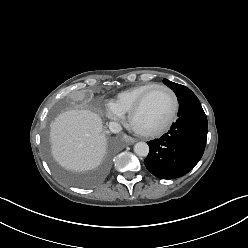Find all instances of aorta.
<instances>
[{"label": "aorta", "instance_id": "762f6f07", "mask_svg": "<svg viewBox=\"0 0 248 248\" xmlns=\"http://www.w3.org/2000/svg\"><path fill=\"white\" fill-rule=\"evenodd\" d=\"M134 152L138 156L146 157L149 153V146L145 142H137L134 145Z\"/></svg>", "mask_w": 248, "mask_h": 248}]
</instances>
